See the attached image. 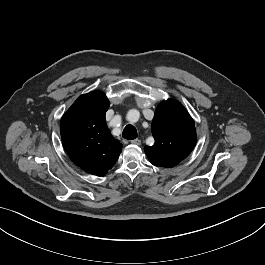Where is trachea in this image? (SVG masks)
Instances as JSON below:
<instances>
[{"mask_svg": "<svg viewBox=\"0 0 265 265\" xmlns=\"http://www.w3.org/2000/svg\"><path fill=\"white\" fill-rule=\"evenodd\" d=\"M122 136L127 140H134L137 138V130L133 125H127L123 130Z\"/></svg>", "mask_w": 265, "mask_h": 265, "instance_id": "obj_1", "label": "trachea"}]
</instances>
